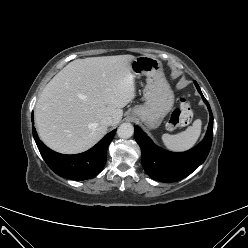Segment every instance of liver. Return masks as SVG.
Masks as SVG:
<instances>
[{"label":"liver","mask_w":248,"mask_h":248,"mask_svg":"<svg viewBox=\"0 0 248 248\" xmlns=\"http://www.w3.org/2000/svg\"><path fill=\"white\" fill-rule=\"evenodd\" d=\"M132 55L76 59L45 86L35 106L41 140L51 149L75 154L94 146L106 133L102 119L117 125L122 108L135 98Z\"/></svg>","instance_id":"6515ba94"}]
</instances>
